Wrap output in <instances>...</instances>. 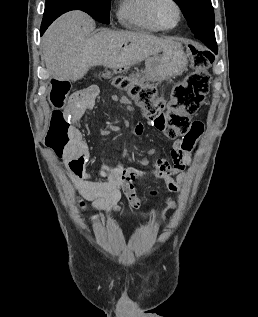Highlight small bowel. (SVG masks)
<instances>
[{"label":"small bowel","mask_w":258,"mask_h":317,"mask_svg":"<svg viewBox=\"0 0 258 317\" xmlns=\"http://www.w3.org/2000/svg\"><path fill=\"white\" fill-rule=\"evenodd\" d=\"M96 94V88L90 86L70 97L65 110L73 121L94 108ZM143 129L142 123L136 125L137 134H141ZM203 132V123L194 121L190 131L173 142L171 160L160 158L147 171L105 164L95 171L89 170L88 164L92 161L91 148L77 129L74 130L72 142L58 155L66 161L69 178L78 195L97 211L93 218L98 219L101 213L118 211L123 197L131 207L139 209L140 201L133 180L146 174L164 180L170 192L179 191L187 178L186 170L192 162V152ZM95 178L104 180L96 181Z\"/></svg>","instance_id":"1"}]
</instances>
